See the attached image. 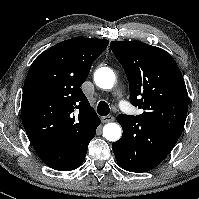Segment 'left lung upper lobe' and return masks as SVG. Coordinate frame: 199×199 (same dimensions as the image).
<instances>
[{"mask_svg":"<svg viewBox=\"0 0 199 199\" xmlns=\"http://www.w3.org/2000/svg\"><path fill=\"white\" fill-rule=\"evenodd\" d=\"M110 47L126 73L130 102L144 110L134 117L180 137L188 111V93L173 57L140 41H112Z\"/></svg>","mask_w":199,"mask_h":199,"instance_id":"5c2ea615","label":"left lung upper lobe"}]
</instances>
